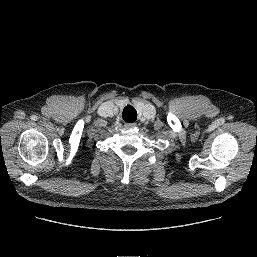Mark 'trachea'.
<instances>
[{"label":"trachea","mask_w":257,"mask_h":257,"mask_svg":"<svg viewBox=\"0 0 257 257\" xmlns=\"http://www.w3.org/2000/svg\"><path fill=\"white\" fill-rule=\"evenodd\" d=\"M123 119L126 122H134L137 119V111L131 105H127L123 110Z\"/></svg>","instance_id":"1"}]
</instances>
